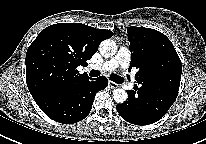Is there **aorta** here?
I'll return each instance as SVG.
<instances>
[{
	"mask_svg": "<svg viewBox=\"0 0 206 144\" xmlns=\"http://www.w3.org/2000/svg\"><path fill=\"white\" fill-rule=\"evenodd\" d=\"M99 51L101 55L106 58L112 57L117 52V45L115 41L111 39H106L100 43ZM127 97L128 94L124 89L118 88L113 90V99L116 103L118 104L124 103L127 100Z\"/></svg>",
	"mask_w": 206,
	"mask_h": 144,
	"instance_id": "obj_1",
	"label": "aorta"
}]
</instances>
